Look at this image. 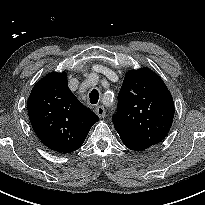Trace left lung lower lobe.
I'll list each match as a JSON object with an SVG mask.
<instances>
[{"instance_id":"0a47b994","label":"left lung lower lobe","mask_w":205,"mask_h":205,"mask_svg":"<svg viewBox=\"0 0 205 205\" xmlns=\"http://www.w3.org/2000/svg\"><path fill=\"white\" fill-rule=\"evenodd\" d=\"M123 144L129 148L130 150H134V151H143L149 147H151V145H148L146 143H143L137 139H134L130 136H128L127 134L117 131Z\"/></svg>"}]
</instances>
